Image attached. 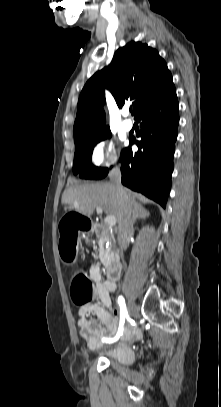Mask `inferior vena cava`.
<instances>
[{"mask_svg": "<svg viewBox=\"0 0 221 407\" xmlns=\"http://www.w3.org/2000/svg\"><path fill=\"white\" fill-rule=\"evenodd\" d=\"M110 182L116 188L117 197L121 205L117 241L120 248L125 250L129 245L130 237L134 232V228L132 209L128 204L125 189L121 184V171L119 166L114 167L111 171Z\"/></svg>", "mask_w": 221, "mask_h": 407, "instance_id": "602c4592", "label": "inferior vena cava"}]
</instances>
